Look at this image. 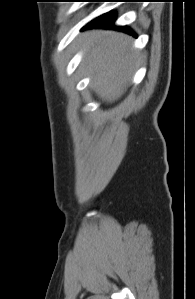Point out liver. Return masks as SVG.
<instances>
[{"instance_id": "6515ba94", "label": "liver", "mask_w": 195, "mask_h": 299, "mask_svg": "<svg viewBox=\"0 0 195 299\" xmlns=\"http://www.w3.org/2000/svg\"><path fill=\"white\" fill-rule=\"evenodd\" d=\"M100 31L87 32L79 37L82 46L91 44L84 64L92 75L94 90L100 97L113 102L126 89L138 59L131 49L128 36L111 33L100 36Z\"/></svg>"}]
</instances>
